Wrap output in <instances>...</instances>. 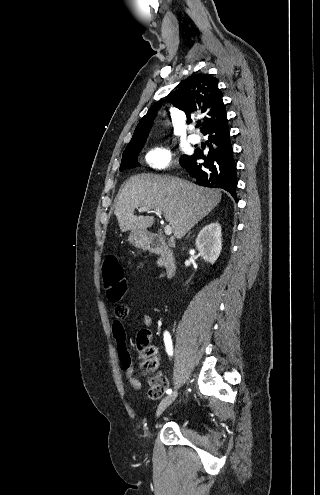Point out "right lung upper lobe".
Here are the masks:
<instances>
[{"label":"right lung upper lobe","mask_w":320,"mask_h":495,"mask_svg":"<svg viewBox=\"0 0 320 495\" xmlns=\"http://www.w3.org/2000/svg\"><path fill=\"white\" fill-rule=\"evenodd\" d=\"M167 98L175 107L185 112L188 123L192 121L191 113L202 115L200 120L202 121V133L227 119L218 80L211 75H193L178 89L171 92ZM159 105L160 102L154 104L140 120L125 150L145 144Z\"/></svg>","instance_id":"right-lung-upper-lobe-1"}]
</instances>
